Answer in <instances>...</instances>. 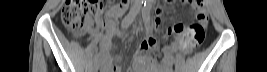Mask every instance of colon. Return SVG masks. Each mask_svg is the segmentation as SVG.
<instances>
[{
	"label": "colon",
	"instance_id": "colon-1",
	"mask_svg": "<svg viewBox=\"0 0 267 72\" xmlns=\"http://www.w3.org/2000/svg\"><path fill=\"white\" fill-rule=\"evenodd\" d=\"M187 2L195 9L197 22L189 28L177 23L174 30L183 37V49L190 52L204 40L208 14L203 12L204 1L189 0ZM103 11L104 1L102 0H67L61 11V18L71 32L80 35L88 27L91 19L101 17ZM105 27L107 30H111L114 25L108 20L105 22Z\"/></svg>",
	"mask_w": 267,
	"mask_h": 72
}]
</instances>
